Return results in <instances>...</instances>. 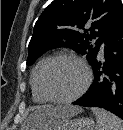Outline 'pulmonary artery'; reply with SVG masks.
<instances>
[{"label": "pulmonary artery", "instance_id": "1", "mask_svg": "<svg viewBox=\"0 0 123 130\" xmlns=\"http://www.w3.org/2000/svg\"><path fill=\"white\" fill-rule=\"evenodd\" d=\"M104 48H105V45H104V44H102V50H104Z\"/></svg>", "mask_w": 123, "mask_h": 130}]
</instances>
